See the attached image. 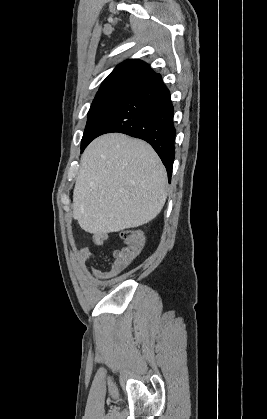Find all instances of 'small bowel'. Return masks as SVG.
I'll return each mask as SVG.
<instances>
[{
	"instance_id": "1",
	"label": "small bowel",
	"mask_w": 267,
	"mask_h": 419,
	"mask_svg": "<svg viewBox=\"0 0 267 419\" xmlns=\"http://www.w3.org/2000/svg\"><path fill=\"white\" fill-rule=\"evenodd\" d=\"M92 239L95 245L103 246L108 239V236L104 233H97L92 235ZM79 262L82 267L86 266V263L89 261H93L95 259V255L93 251L88 247H83L78 252ZM120 270L117 269L115 264L112 262L111 267L109 270H101L98 268L92 269V274L97 278H110L115 276Z\"/></svg>"
}]
</instances>
